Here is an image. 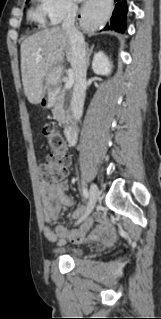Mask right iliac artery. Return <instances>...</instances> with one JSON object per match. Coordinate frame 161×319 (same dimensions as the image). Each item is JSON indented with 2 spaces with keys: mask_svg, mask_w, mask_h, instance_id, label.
<instances>
[{
  "mask_svg": "<svg viewBox=\"0 0 161 319\" xmlns=\"http://www.w3.org/2000/svg\"><path fill=\"white\" fill-rule=\"evenodd\" d=\"M82 192H83V196L85 197V199H88L89 198L88 190L86 188H83Z\"/></svg>",
  "mask_w": 161,
  "mask_h": 319,
  "instance_id": "obj_1",
  "label": "right iliac artery"
}]
</instances>
